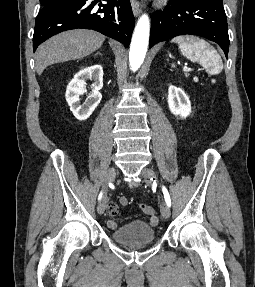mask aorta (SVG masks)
Listing matches in <instances>:
<instances>
[{"label":"aorta","mask_w":255,"mask_h":287,"mask_svg":"<svg viewBox=\"0 0 255 287\" xmlns=\"http://www.w3.org/2000/svg\"><path fill=\"white\" fill-rule=\"evenodd\" d=\"M150 22L147 15H142L135 27L129 53L131 69L136 71L144 61L149 42Z\"/></svg>","instance_id":"762f6f07"}]
</instances>
